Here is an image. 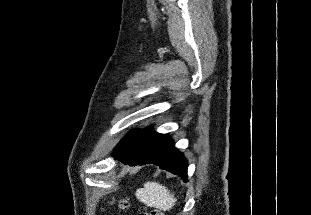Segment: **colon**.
Returning <instances> with one entry per match:
<instances>
[{"instance_id": "5ec220e1", "label": "colon", "mask_w": 311, "mask_h": 215, "mask_svg": "<svg viewBox=\"0 0 311 215\" xmlns=\"http://www.w3.org/2000/svg\"><path fill=\"white\" fill-rule=\"evenodd\" d=\"M118 206L119 208L125 210L128 208L129 206V202L127 199H121L119 200L118 202ZM137 215H164L161 211L159 210H151V211H148V210H139L137 212Z\"/></svg>"}]
</instances>
